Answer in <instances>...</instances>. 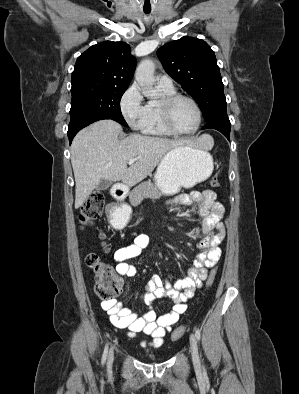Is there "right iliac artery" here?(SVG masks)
Masks as SVG:
<instances>
[{"label": "right iliac artery", "instance_id": "right-iliac-artery-1", "mask_svg": "<svg viewBox=\"0 0 299 394\" xmlns=\"http://www.w3.org/2000/svg\"><path fill=\"white\" fill-rule=\"evenodd\" d=\"M107 353H108V345L105 346L104 352H103V356H102V364L105 363L106 358H107Z\"/></svg>", "mask_w": 299, "mask_h": 394}]
</instances>
